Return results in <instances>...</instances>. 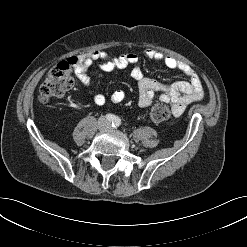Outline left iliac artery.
Segmentation results:
<instances>
[{"label":"left iliac artery","mask_w":247,"mask_h":247,"mask_svg":"<svg viewBox=\"0 0 247 247\" xmlns=\"http://www.w3.org/2000/svg\"><path fill=\"white\" fill-rule=\"evenodd\" d=\"M120 124H121V120L119 118H116L114 120V122L112 123V126L115 127V128H117V127L120 126Z\"/></svg>","instance_id":"obj_1"}]
</instances>
